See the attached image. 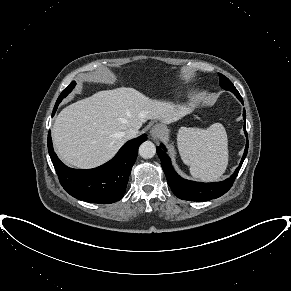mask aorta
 I'll use <instances>...</instances> for the list:
<instances>
[{
    "mask_svg": "<svg viewBox=\"0 0 291 291\" xmlns=\"http://www.w3.org/2000/svg\"><path fill=\"white\" fill-rule=\"evenodd\" d=\"M156 154V147L151 141L143 142L139 147V155L144 159H150Z\"/></svg>",
    "mask_w": 291,
    "mask_h": 291,
    "instance_id": "762f6f07",
    "label": "aorta"
}]
</instances>
